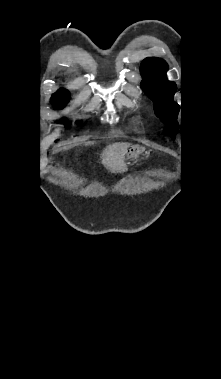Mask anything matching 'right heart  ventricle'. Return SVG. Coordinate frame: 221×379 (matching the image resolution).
<instances>
[{
  "label": "right heart ventricle",
  "instance_id": "obj_1",
  "mask_svg": "<svg viewBox=\"0 0 221 379\" xmlns=\"http://www.w3.org/2000/svg\"><path fill=\"white\" fill-rule=\"evenodd\" d=\"M133 124H136L135 120H133Z\"/></svg>",
  "mask_w": 221,
  "mask_h": 379
}]
</instances>
